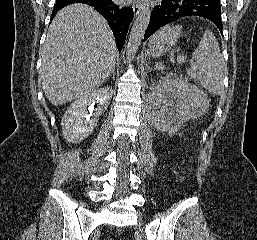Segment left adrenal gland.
<instances>
[{
	"label": "left adrenal gland",
	"instance_id": "left-adrenal-gland-1",
	"mask_svg": "<svg viewBox=\"0 0 257 240\" xmlns=\"http://www.w3.org/2000/svg\"><path fill=\"white\" fill-rule=\"evenodd\" d=\"M151 69L149 66H147V70Z\"/></svg>",
	"mask_w": 257,
	"mask_h": 240
}]
</instances>
